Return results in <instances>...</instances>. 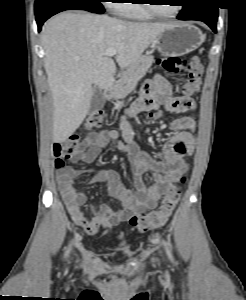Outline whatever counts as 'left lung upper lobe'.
<instances>
[{
  "label": "left lung upper lobe",
  "instance_id": "1",
  "mask_svg": "<svg viewBox=\"0 0 246 300\" xmlns=\"http://www.w3.org/2000/svg\"><path fill=\"white\" fill-rule=\"evenodd\" d=\"M212 1H213V0H212ZM188 2H192V1H188ZM188 5H190V4H188ZM188 5L183 6V8H185V7L188 6Z\"/></svg>",
  "mask_w": 246,
  "mask_h": 300
}]
</instances>
